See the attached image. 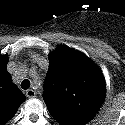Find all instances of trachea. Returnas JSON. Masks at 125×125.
Listing matches in <instances>:
<instances>
[{
    "label": "trachea",
    "instance_id": "obj_1",
    "mask_svg": "<svg viewBox=\"0 0 125 125\" xmlns=\"http://www.w3.org/2000/svg\"><path fill=\"white\" fill-rule=\"evenodd\" d=\"M29 87H30V81L28 79L23 80L21 83V88L26 90Z\"/></svg>",
    "mask_w": 125,
    "mask_h": 125
}]
</instances>
